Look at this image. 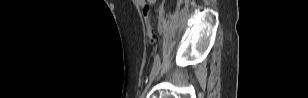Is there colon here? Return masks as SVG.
Instances as JSON below:
<instances>
[{
    "mask_svg": "<svg viewBox=\"0 0 308 98\" xmlns=\"http://www.w3.org/2000/svg\"><path fill=\"white\" fill-rule=\"evenodd\" d=\"M142 12H143V17L145 20V26H146V32L148 34V36L153 40L155 38L154 36V31L151 25V21H150V9L148 6H144L142 8Z\"/></svg>",
    "mask_w": 308,
    "mask_h": 98,
    "instance_id": "obj_1",
    "label": "colon"
}]
</instances>
